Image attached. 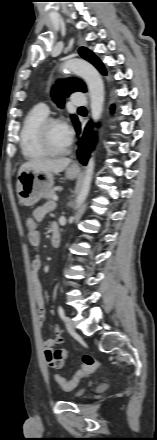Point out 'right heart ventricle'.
<instances>
[{"label":"right heart ventricle","mask_w":157,"mask_h":440,"mask_svg":"<svg viewBox=\"0 0 157 440\" xmlns=\"http://www.w3.org/2000/svg\"><path fill=\"white\" fill-rule=\"evenodd\" d=\"M46 118L47 114L35 107L27 113L23 120L20 131V147L23 155L28 159H38L48 155L39 145L36 136L38 126Z\"/></svg>","instance_id":"obj_1"}]
</instances>
